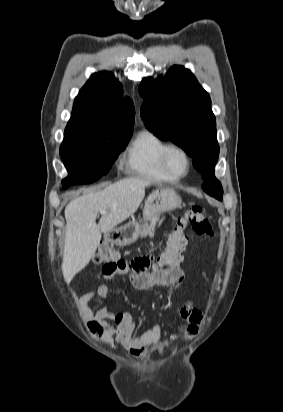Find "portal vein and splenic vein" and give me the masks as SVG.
Here are the masks:
<instances>
[{"mask_svg": "<svg viewBox=\"0 0 283 412\" xmlns=\"http://www.w3.org/2000/svg\"><path fill=\"white\" fill-rule=\"evenodd\" d=\"M106 213H107V210H101V211H100V214H102V215H103V214H106Z\"/></svg>", "mask_w": 283, "mask_h": 412, "instance_id": "18ae733b", "label": "portal vein and splenic vein"}]
</instances>
